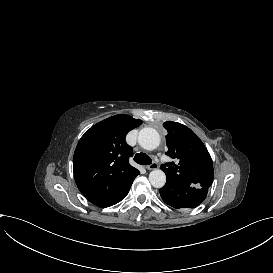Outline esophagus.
I'll return each mask as SVG.
<instances>
[{
	"mask_svg": "<svg viewBox=\"0 0 273 273\" xmlns=\"http://www.w3.org/2000/svg\"><path fill=\"white\" fill-rule=\"evenodd\" d=\"M146 168H147L148 170L157 169V168H158V163L153 162L152 164L148 165Z\"/></svg>",
	"mask_w": 273,
	"mask_h": 273,
	"instance_id": "34e87169",
	"label": "esophagus"
}]
</instances>
